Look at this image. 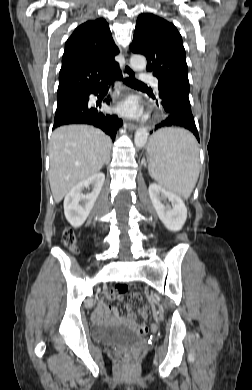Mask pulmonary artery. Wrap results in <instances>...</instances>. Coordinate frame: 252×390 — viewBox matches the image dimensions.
I'll return each instance as SVG.
<instances>
[{
    "mask_svg": "<svg viewBox=\"0 0 252 390\" xmlns=\"http://www.w3.org/2000/svg\"><path fill=\"white\" fill-rule=\"evenodd\" d=\"M141 80L142 81H150L152 83V85L155 87V89L156 90L158 89V81H157V79L153 78L152 76H150L148 74H142Z\"/></svg>",
    "mask_w": 252,
    "mask_h": 390,
    "instance_id": "e3ab8cb5",
    "label": "pulmonary artery"
}]
</instances>
